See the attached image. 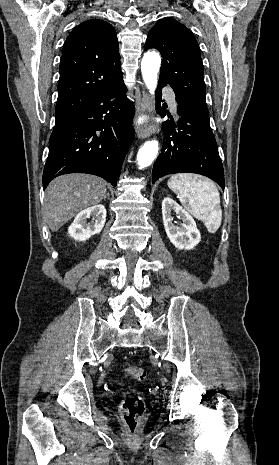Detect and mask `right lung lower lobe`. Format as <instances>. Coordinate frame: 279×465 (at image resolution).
I'll list each match as a JSON object with an SVG mask.
<instances>
[{
    "instance_id": "98d812e1",
    "label": "right lung lower lobe",
    "mask_w": 279,
    "mask_h": 465,
    "mask_svg": "<svg viewBox=\"0 0 279 465\" xmlns=\"http://www.w3.org/2000/svg\"><path fill=\"white\" fill-rule=\"evenodd\" d=\"M123 80L77 110L52 133L43 188L59 175L89 173L116 186L133 141V104Z\"/></svg>"
}]
</instances>
